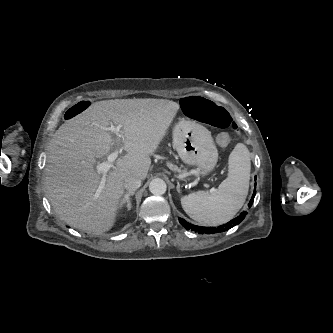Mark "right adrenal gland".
<instances>
[{
    "label": "right adrenal gland",
    "mask_w": 333,
    "mask_h": 333,
    "mask_svg": "<svg viewBox=\"0 0 333 333\" xmlns=\"http://www.w3.org/2000/svg\"><path fill=\"white\" fill-rule=\"evenodd\" d=\"M133 194H134V192H128L124 195V197L122 198V200L119 203L120 209L123 207L124 204H126L128 211L131 210L132 206H131V202H130V196H132Z\"/></svg>",
    "instance_id": "right-adrenal-gland-1"
}]
</instances>
